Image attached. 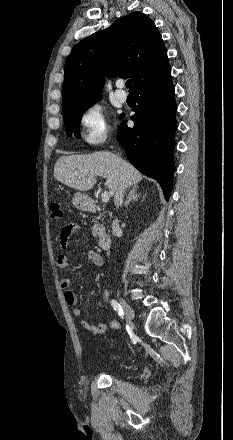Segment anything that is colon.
Here are the masks:
<instances>
[{"label": "colon", "instance_id": "obj_1", "mask_svg": "<svg viewBox=\"0 0 233 440\" xmlns=\"http://www.w3.org/2000/svg\"><path fill=\"white\" fill-rule=\"evenodd\" d=\"M50 216L54 220H60L63 217V211L59 202H53L50 205Z\"/></svg>", "mask_w": 233, "mask_h": 440}]
</instances>
